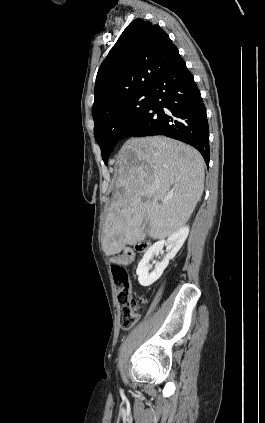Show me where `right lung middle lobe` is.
Segmentation results:
<instances>
[{"label": "right lung middle lobe", "instance_id": "right-lung-middle-lobe-1", "mask_svg": "<svg viewBox=\"0 0 265 423\" xmlns=\"http://www.w3.org/2000/svg\"><path fill=\"white\" fill-rule=\"evenodd\" d=\"M150 101V90L135 93L113 105L94 121V136L101 148L105 164L116 143L143 113Z\"/></svg>", "mask_w": 265, "mask_h": 423}]
</instances>
